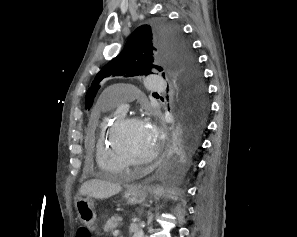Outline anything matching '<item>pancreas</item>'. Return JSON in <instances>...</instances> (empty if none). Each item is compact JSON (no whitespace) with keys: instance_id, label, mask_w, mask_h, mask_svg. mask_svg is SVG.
I'll return each instance as SVG.
<instances>
[{"instance_id":"1","label":"pancreas","mask_w":297,"mask_h":237,"mask_svg":"<svg viewBox=\"0 0 297 237\" xmlns=\"http://www.w3.org/2000/svg\"><path fill=\"white\" fill-rule=\"evenodd\" d=\"M120 218L118 216H113L107 220L104 225L105 232H112L119 225Z\"/></svg>"}]
</instances>
